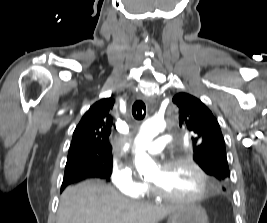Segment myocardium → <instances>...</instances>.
<instances>
[{
    "label": "myocardium",
    "mask_w": 267,
    "mask_h": 223,
    "mask_svg": "<svg viewBox=\"0 0 267 223\" xmlns=\"http://www.w3.org/2000/svg\"><path fill=\"white\" fill-rule=\"evenodd\" d=\"M188 165L192 169L195 170L197 175L200 178L201 181V189L200 191L192 196V197H176L172 196L166 193H163L156 185L153 183H149L150 190L153 194V196L161 201L169 202V203H176V204H196L200 201H202L208 193V177L206 172L202 169V167L197 164L192 158L189 157H172L167 160H165L161 164V168L166 169L177 165Z\"/></svg>",
    "instance_id": "1"
}]
</instances>
